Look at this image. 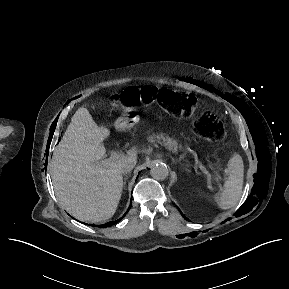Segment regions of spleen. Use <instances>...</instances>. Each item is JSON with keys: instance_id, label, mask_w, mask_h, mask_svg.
Segmentation results:
<instances>
[{"instance_id": "1", "label": "spleen", "mask_w": 289, "mask_h": 289, "mask_svg": "<svg viewBox=\"0 0 289 289\" xmlns=\"http://www.w3.org/2000/svg\"><path fill=\"white\" fill-rule=\"evenodd\" d=\"M224 172V185L215 196V201L220 209L228 210L238 203L242 194L244 182V165L242 157L235 153L229 159Z\"/></svg>"}]
</instances>
